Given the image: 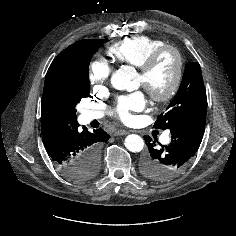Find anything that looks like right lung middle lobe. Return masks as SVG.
<instances>
[{
    "label": "right lung middle lobe",
    "instance_id": "right-lung-middle-lobe-1",
    "mask_svg": "<svg viewBox=\"0 0 236 236\" xmlns=\"http://www.w3.org/2000/svg\"><path fill=\"white\" fill-rule=\"evenodd\" d=\"M106 39H90L77 45L71 53L69 64L56 80L59 95L74 109L82 98L89 96V62L97 47ZM99 170V155L91 157L84 169L82 180L93 178Z\"/></svg>",
    "mask_w": 236,
    "mask_h": 236
}]
</instances>
